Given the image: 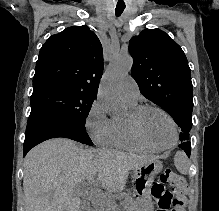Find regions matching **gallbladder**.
Segmentation results:
<instances>
[{
    "label": "gallbladder",
    "mask_w": 219,
    "mask_h": 211,
    "mask_svg": "<svg viewBox=\"0 0 219 211\" xmlns=\"http://www.w3.org/2000/svg\"><path fill=\"white\" fill-rule=\"evenodd\" d=\"M49 197H53V195H49ZM79 211H89L87 205H83V207H80Z\"/></svg>",
    "instance_id": "bac80fb5"
}]
</instances>
